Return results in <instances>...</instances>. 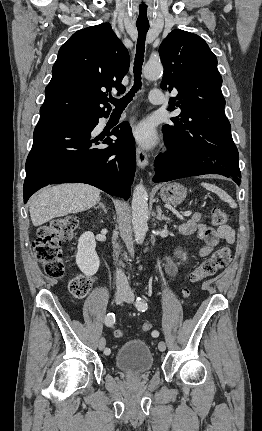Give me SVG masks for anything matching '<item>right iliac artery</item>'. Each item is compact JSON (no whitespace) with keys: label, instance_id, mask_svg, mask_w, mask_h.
Listing matches in <instances>:
<instances>
[{"label":"right iliac artery","instance_id":"82829eb1","mask_svg":"<svg viewBox=\"0 0 262 431\" xmlns=\"http://www.w3.org/2000/svg\"><path fill=\"white\" fill-rule=\"evenodd\" d=\"M104 323L108 327L113 326L115 324V314L114 313H108L104 318ZM105 353L109 354L110 349H105Z\"/></svg>","mask_w":262,"mask_h":431}]
</instances>
